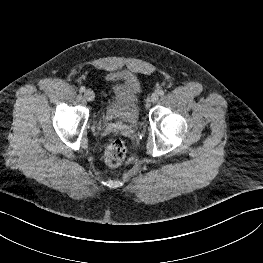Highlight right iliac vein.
Masks as SVG:
<instances>
[{
  "label": "right iliac vein",
  "mask_w": 263,
  "mask_h": 263,
  "mask_svg": "<svg viewBox=\"0 0 263 263\" xmlns=\"http://www.w3.org/2000/svg\"><path fill=\"white\" fill-rule=\"evenodd\" d=\"M84 96H85V98H86L88 101H93L94 98H95V94H94V92H93L91 89H87V90L84 92Z\"/></svg>",
  "instance_id": "63e3f726"
}]
</instances>
